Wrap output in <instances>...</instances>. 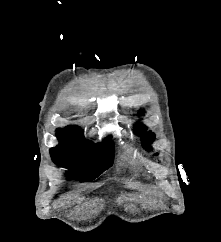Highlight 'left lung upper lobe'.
<instances>
[{
    "instance_id": "obj_1",
    "label": "left lung upper lobe",
    "mask_w": 221,
    "mask_h": 242,
    "mask_svg": "<svg viewBox=\"0 0 221 242\" xmlns=\"http://www.w3.org/2000/svg\"><path fill=\"white\" fill-rule=\"evenodd\" d=\"M135 131L138 135H142V141H143V146L147 149H150V146H147L148 143H151L155 136L153 133H151L150 131H147V127L144 126L143 124L138 123L135 127Z\"/></svg>"
}]
</instances>
